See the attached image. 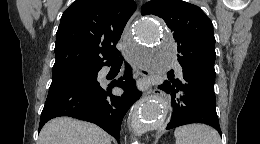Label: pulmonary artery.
I'll return each mask as SVG.
<instances>
[{
  "instance_id": "1",
  "label": "pulmonary artery",
  "mask_w": 260,
  "mask_h": 144,
  "mask_svg": "<svg viewBox=\"0 0 260 144\" xmlns=\"http://www.w3.org/2000/svg\"><path fill=\"white\" fill-rule=\"evenodd\" d=\"M176 68L178 69V71H181V68L179 65H177Z\"/></svg>"
}]
</instances>
